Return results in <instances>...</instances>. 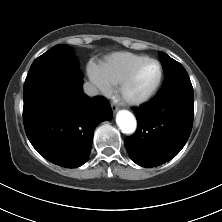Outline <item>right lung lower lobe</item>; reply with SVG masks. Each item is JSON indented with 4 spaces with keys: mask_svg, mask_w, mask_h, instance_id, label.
<instances>
[{
    "mask_svg": "<svg viewBox=\"0 0 222 222\" xmlns=\"http://www.w3.org/2000/svg\"><path fill=\"white\" fill-rule=\"evenodd\" d=\"M73 97L40 95L24 101L23 121L33 147L48 161L65 167L83 165L90 154L95 127L112 118L103 97L82 93V79Z\"/></svg>",
    "mask_w": 222,
    "mask_h": 222,
    "instance_id": "obj_1",
    "label": "right lung lower lobe"
}]
</instances>
